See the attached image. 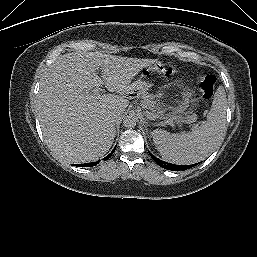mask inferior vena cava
<instances>
[{
  "mask_svg": "<svg viewBox=\"0 0 257 257\" xmlns=\"http://www.w3.org/2000/svg\"><path fill=\"white\" fill-rule=\"evenodd\" d=\"M121 118V115L120 113H112L111 116H110V119L115 123L117 122L119 119Z\"/></svg>",
  "mask_w": 257,
  "mask_h": 257,
  "instance_id": "602c4592",
  "label": "inferior vena cava"
}]
</instances>
